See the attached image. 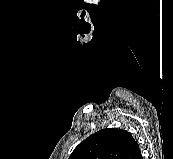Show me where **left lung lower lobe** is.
Instances as JSON below:
<instances>
[{
	"label": "left lung lower lobe",
	"instance_id": "1",
	"mask_svg": "<svg viewBox=\"0 0 173 159\" xmlns=\"http://www.w3.org/2000/svg\"><path fill=\"white\" fill-rule=\"evenodd\" d=\"M135 159H143L142 155H141V152L137 155V157Z\"/></svg>",
	"mask_w": 173,
	"mask_h": 159
}]
</instances>
